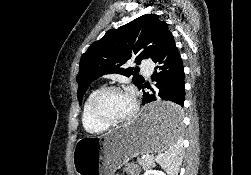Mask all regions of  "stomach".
Here are the masks:
<instances>
[{
	"label": "stomach",
	"mask_w": 251,
	"mask_h": 175,
	"mask_svg": "<svg viewBox=\"0 0 251 175\" xmlns=\"http://www.w3.org/2000/svg\"><path fill=\"white\" fill-rule=\"evenodd\" d=\"M171 100H154L153 107L141 109L138 117L112 129L105 135H84L76 141L72 151V163L76 175H113L120 165L138 154H155V151L170 148L169 141H177L182 124L181 114Z\"/></svg>",
	"instance_id": "stomach-1"
}]
</instances>
